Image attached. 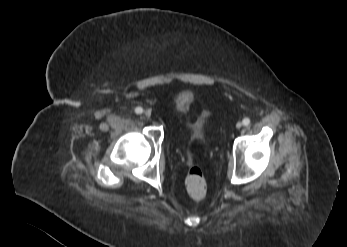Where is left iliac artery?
Masks as SVG:
<instances>
[{
    "label": "left iliac artery",
    "instance_id": "obj_1",
    "mask_svg": "<svg viewBox=\"0 0 347 247\" xmlns=\"http://www.w3.org/2000/svg\"><path fill=\"white\" fill-rule=\"evenodd\" d=\"M242 122H243L244 126H247V125L250 124V119L249 118H244Z\"/></svg>",
    "mask_w": 347,
    "mask_h": 247
}]
</instances>
